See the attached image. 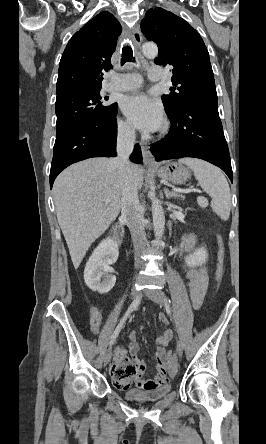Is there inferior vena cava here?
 <instances>
[{
  "instance_id": "inferior-vena-cava-1",
  "label": "inferior vena cava",
  "mask_w": 266,
  "mask_h": 444,
  "mask_svg": "<svg viewBox=\"0 0 266 444\" xmlns=\"http://www.w3.org/2000/svg\"><path fill=\"white\" fill-rule=\"evenodd\" d=\"M135 144V129L132 126L119 128L117 135V157L119 173L124 178L121 217L125 219L131 232L135 249V266H140V250L145 247L147 239L145 233V219L141 211L137 187L132 178L129 156Z\"/></svg>"
}]
</instances>
